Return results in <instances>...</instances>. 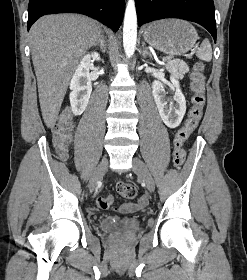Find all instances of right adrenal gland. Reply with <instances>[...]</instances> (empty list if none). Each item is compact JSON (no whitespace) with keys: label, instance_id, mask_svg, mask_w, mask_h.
I'll list each match as a JSON object with an SVG mask.
<instances>
[{"label":"right adrenal gland","instance_id":"right-adrenal-gland-1","mask_svg":"<svg viewBox=\"0 0 247 280\" xmlns=\"http://www.w3.org/2000/svg\"><path fill=\"white\" fill-rule=\"evenodd\" d=\"M97 45H99L101 52L105 53L107 45H106L103 33L101 34V37L99 38V40L94 44V46H97Z\"/></svg>","mask_w":247,"mask_h":280}]
</instances>
